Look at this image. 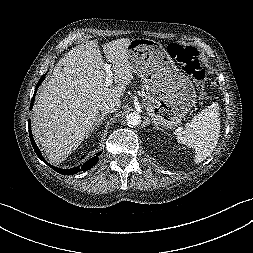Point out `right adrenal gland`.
I'll list each match as a JSON object with an SVG mask.
<instances>
[{"label":"right adrenal gland","mask_w":253,"mask_h":253,"mask_svg":"<svg viewBox=\"0 0 253 253\" xmlns=\"http://www.w3.org/2000/svg\"><path fill=\"white\" fill-rule=\"evenodd\" d=\"M104 117H105V114L99 115V117H98V119H97V121L95 123V125H96L95 130H97L100 127V125L102 124V120L104 119Z\"/></svg>","instance_id":"obj_1"}]
</instances>
